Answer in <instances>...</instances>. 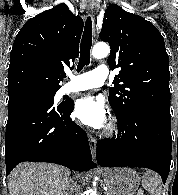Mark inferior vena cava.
I'll list each match as a JSON object with an SVG mask.
<instances>
[{
	"label": "inferior vena cava",
	"mask_w": 178,
	"mask_h": 195,
	"mask_svg": "<svg viewBox=\"0 0 178 195\" xmlns=\"http://www.w3.org/2000/svg\"><path fill=\"white\" fill-rule=\"evenodd\" d=\"M79 191H80L79 186H77L76 183L72 182L71 185H70V188H69V190L67 192V194L68 195H80Z\"/></svg>",
	"instance_id": "1"
}]
</instances>
